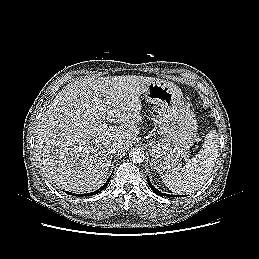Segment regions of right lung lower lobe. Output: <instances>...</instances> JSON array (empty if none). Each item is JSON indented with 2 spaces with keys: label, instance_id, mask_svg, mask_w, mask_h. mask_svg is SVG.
<instances>
[{
  "label": "right lung lower lobe",
  "instance_id": "right-lung-lower-lobe-1",
  "mask_svg": "<svg viewBox=\"0 0 259 259\" xmlns=\"http://www.w3.org/2000/svg\"><path fill=\"white\" fill-rule=\"evenodd\" d=\"M111 178V177H110ZM110 178L106 181V183L101 187V188H99L98 190H96V191H94V192H92V193H88V194H80L79 196H86V195H94V194H97V193H99V192H101L107 185H108V183H109V181H110ZM68 194H70V192H68ZM76 195H78V194H76Z\"/></svg>",
  "mask_w": 259,
  "mask_h": 259
}]
</instances>
